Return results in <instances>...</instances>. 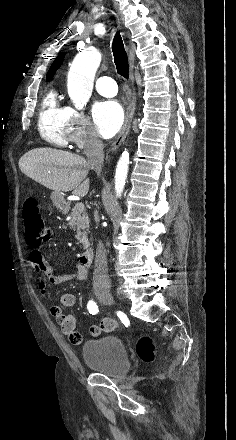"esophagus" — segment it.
Wrapping results in <instances>:
<instances>
[{
    "label": "esophagus",
    "instance_id": "34e87169",
    "mask_svg": "<svg viewBox=\"0 0 236 440\" xmlns=\"http://www.w3.org/2000/svg\"><path fill=\"white\" fill-rule=\"evenodd\" d=\"M129 61H130V70H131V74H130V79L131 82H134V75H133V69H134V61H135V55H134V51L132 48L129 47ZM135 93L132 94V100L126 110V115H125V121H124V125L118 135V137L115 139V141L112 143L111 152H115L119 146L122 144V142L125 140L129 129H130V125H131V121L133 118V114H134V110H135Z\"/></svg>",
    "mask_w": 236,
    "mask_h": 440
}]
</instances>
